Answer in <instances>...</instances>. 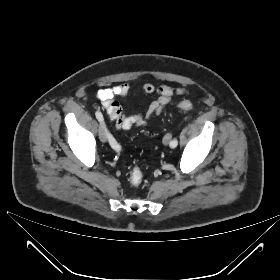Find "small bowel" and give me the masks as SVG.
<instances>
[{
	"label": "small bowel",
	"mask_w": 280,
	"mask_h": 280,
	"mask_svg": "<svg viewBox=\"0 0 280 280\" xmlns=\"http://www.w3.org/2000/svg\"><path fill=\"white\" fill-rule=\"evenodd\" d=\"M142 91L146 94H155V100L149 104L145 112L130 114L124 111L117 100V98H127L131 95V88L128 83L117 84L111 88L98 91L97 96L117 130L127 131L133 127L145 126L148 120L162 113L163 109L171 102L174 94H183L185 92L181 88H173L166 84L155 86L151 82H145L142 85Z\"/></svg>",
	"instance_id": "c3829d8e"
}]
</instances>
